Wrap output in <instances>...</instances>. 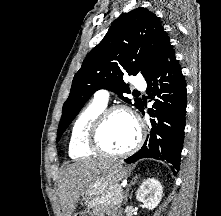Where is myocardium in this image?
Listing matches in <instances>:
<instances>
[{
    "label": "myocardium",
    "mask_w": 221,
    "mask_h": 216,
    "mask_svg": "<svg viewBox=\"0 0 221 216\" xmlns=\"http://www.w3.org/2000/svg\"><path fill=\"white\" fill-rule=\"evenodd\" d=\"M122 112L127 114L133 121L137 130V137L133 144L127 149L120 152H112L107 150L100 141V134L106 121L115 113ZM144 127L142 121L128 106L114 105L105 108L91 123L87 131V145L90 150L103 156L124 157L136 151L142 144L144 139Z\"/></svg>",
    "instance_id": "myocardium-1"
}]
</instances>
